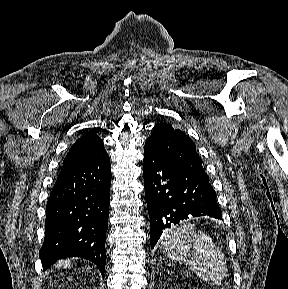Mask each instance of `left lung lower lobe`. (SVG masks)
Returning <instances> with one entry per match:
<instances>
[{"mask_svg": "<svg viewBox=\"0 0 288 289\" xmlns=\"http://www.w3.org/2000/svg\"><path fill=\"white\" fill-rule=\"evenodd\" d=\"M143 175L151 223V248L165 229L189 216L222 219L209 180L170 162L148 141L144 147Z\"/></svg>", "mask_w": 288, "mask_h": 289, "instance_id": "1", "label": "left lung lower lobe"}]
</instances>
